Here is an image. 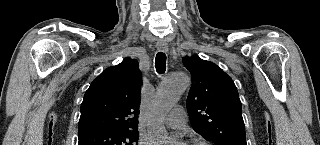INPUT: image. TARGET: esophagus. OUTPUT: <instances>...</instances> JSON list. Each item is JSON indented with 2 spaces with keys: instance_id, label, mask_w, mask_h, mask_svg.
I'll return each mask as SVG.
<instances>
[{
  "instance_id": "1",
  "label": "esophagus",
  "mask_w": 320,
  "mask_h": 145,
  "mask_svg": "<svg viewBox=\"0 0 320 145\" xmlns=\"http://www.w3.org/2000/svg\"><path fill=\"white\" fill-rule=\"evenodd\" d=\"M157 48L159 51L167 52L168 51V44L164 40H159L157 42Z\"/></svg>"
}]
</instances>
